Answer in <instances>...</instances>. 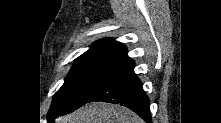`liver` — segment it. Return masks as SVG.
I'll list each match as a JSON object with an SVG mask.
<instances>
[{"label":"liver","mask_w":221,"mask_h":123,"mask_svg":"<svg viewBox=\"0 0 221 123\" xmlns=\"http://www.w3.org/2000/svg\"><path fill=\"white\" fill-rule=\"evenodd\" d=\"M56 123H144L131 110L104 102H94L83 106L72 114L59 117Z\"/></svg>","instance_id":"liver-1"}]
</instances>
